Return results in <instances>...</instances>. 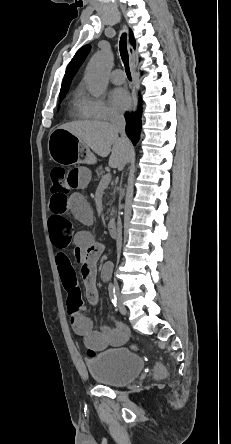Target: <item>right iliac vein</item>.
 <instances>
[{
	"label": "right iliac vein",
	"instance_id": "right-iliac-vein-1",
	"mask_svg": "<svg viewBox=\"0 0 231 444\" xmlns=\"http://www.w3.org/2000/svg\"><path fill=\"white\" fill-rule=\"evenodd\" d=\"M116 292H117V295H118V298H119V300H118V307H119V310H120V312H121L122 314H126V308H125V306L123 305L122 300H121V298H120V293H119V287H118V286H116Z\"/></svg>",
	"mask_w": 231,
	"mask_h": 444
}]
</instances>
